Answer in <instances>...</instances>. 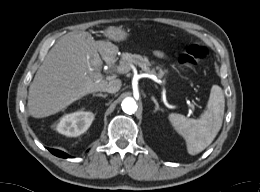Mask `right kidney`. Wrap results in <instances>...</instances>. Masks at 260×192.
Returning a JSON list of instances; mask_svg holds the SVG:
<instances>
[{
    "mask_svg": "<svg viewBox=\"0 0 260 192\" xmlns=\"http://www.w3.org/2000/svg\"><path fill=\"white\" fill-rule=\"evenodd\" d=\"M93 119L94 115L91 112L79 111L67 114L60 120L57 130L63 135L76 137L87 131Z\"/></svg>",
    "mask_w": 260,
    "mask_h": 192,
    "instance_id": "obj_1",
    "label": "right kidney"
}]
</instances>
